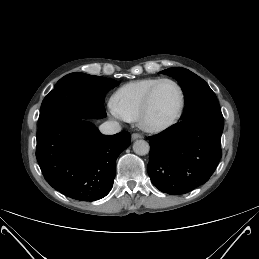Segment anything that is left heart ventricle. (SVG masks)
I'll return each mask as SVG.
<instances>
[{"label": "left heart ventricle", "mask_w": 259, "mask_h": 259, "mask_svg": "<svg viewBox=\"0 0 259 259\" xmlns=\"http://www.w3.org/2000/svg\"><path fill=\"white\" fill-rule=\"evenodd\" d=\"M179 93L169 82L160 84L153 96L148 121L152 124H162L169 121L177 112Z\"/></svg>", "instance_id": "left-heart-ventricle-1"}]
</instances>
